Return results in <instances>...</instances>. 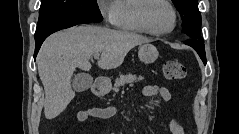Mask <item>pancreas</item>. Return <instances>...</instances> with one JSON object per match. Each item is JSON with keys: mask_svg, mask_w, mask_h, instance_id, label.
Wrapping results in <instances>:
<instances>
[{"mask_svg": "<svg viewBox=\"0 0 239 134\" xmlns=\"http://www.w3.org/2000/svg\"><path fill=\"white\" fill-rule=\"evenodd\" d=\"M141 80H143L142 76L137 77L136 75H133L130 73L126 75H120V77L117 78L115 81L113 91L118 92L121 86H124L125 84H128V83L141 81Z\"/></svg>", "mask_w": 239, "mask_h": 134, "instance_id": "pancreas-1", "label": "pancreas"}]
</instances>
